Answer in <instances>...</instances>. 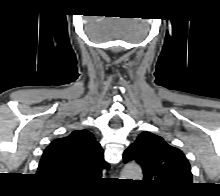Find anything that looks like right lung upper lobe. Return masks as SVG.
<instances>
[{
	"label": "right lung upper lobe",
	"instance_id": "obj_1",
	"mask_svg": "<svg viewBox=\"0 0 220 196\" xmlns=\"http://www.w3.org/2000/svg\"><path fill=\"white\" fill-rule=\"evenodd\" d=\"M109 165L93 134L75 130L70 135L54 140L45 149L37 174L57 185L78 186L100 178Z\"/></svg>",
	"mask_w": 220,
	"mask_h": 196
}]
</instances>
